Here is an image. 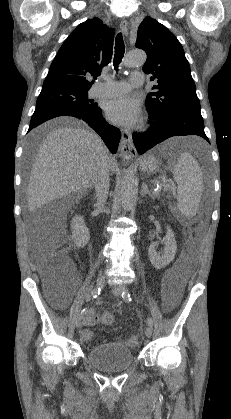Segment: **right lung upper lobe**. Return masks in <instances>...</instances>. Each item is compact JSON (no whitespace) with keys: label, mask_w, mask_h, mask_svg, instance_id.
<instances>
[{"label":"right lung upper lobe","mask_w":231,"mask_h":419,"mask_svg":"<svg viewBox=\"0 0 231 419\" xmlns=\"http://www.w3.org/2000/svg\"><path fill=\"white\" fill-rule=\"evenodd\" d=\"M113 29L98 18L77 26L52 62L44 86L66 85L89 90L90 78L101 73L112 57Z\"/></svg>","instance_id":"right-lung-upper-lobe-1"}]
</instances>
